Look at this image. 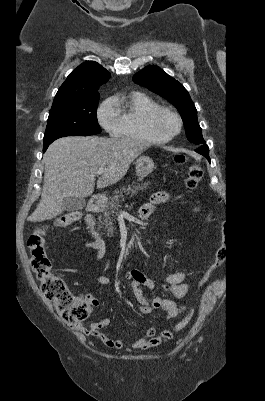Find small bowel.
<instances>
[{
	"label": "small bowel",
	"mask_w": 265,
	"mask_h": 401,
	"mask_svg": "<svg viewBox=\"0 0 265 401\" xmlns=\"http://www.w3.org/2000/svg\"><path fill=\"white\" fill-rule=\"evenodd\" d=\"M171 201L172 198L167 192H157L153 194L151 199L140 208V218L147 219L151 216L157 205L170 203ZM84 247L94 249L97 252V260L99 262L104 260L106 246L102 239L86 243ZM91 278L99 284L109 285L111 283V280L104 275H94ZM186 278L187 275L183 271L167 274L163 276L161 280H157L155 277L136 268L128 270L125 274V279L130 281L132 292L140 305L141 311L146 314H151L156 309H161L164 312V317L166 319L178 316L185 309V306L178 305L175 301L160 296L150 299L144 293L143 287L153 290L156 286H160L173 298H182L190 292V286L187 283ZM85 299L96 304V301L88 295L85 296ZM109 325L110 320L106 318L91 323L88 327H78V329L85 335L98 337L105 345L115 349H122L124 347L147 349L149 347H154L160 344L162 340L167 339L164 335L165 330L156 334L155 328H150L144 337L134 341L124 342L120 339H111L100 332Z\"/></svg>",
	"instance_id": "obj_1"
}]
</instances>
